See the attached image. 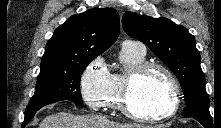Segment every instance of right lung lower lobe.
I'll list each match as a JSON object with an SVG mask.
<instances>
[{
  "instance_id": "right-lung-lower-lobe-1",
  "label": "right lung lower lobe",
  "mask_w": 221,
  "mask_h": 128,
  "mask_svg": "<svg viewBox=\"0 0 221 128\" xmlns=\"http://www.w3.org/2000/svg\"><path fill=\"white\" fill-rule=\"evenodd\" d=\"M39 109H40V108L35 109V110H32V111L26 113V116H25L24 122H23V124H22V127H25V125L33 118L34 114H35Z\"/></svg>"
}]
</instances>
